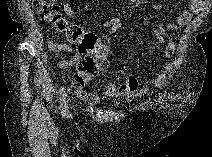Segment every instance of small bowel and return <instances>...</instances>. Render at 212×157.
<instances>
[{
	"label": "small bowel",
	"mask_w": 212,
	"mask_h": 157,
	"mask_svg": "<svg viewBox=\"0 0 212 157\" xmlns=\"http://www.w3.org/2000/svg\"><path fill=\"white\" fill-rule=\"evenodd\" d=\"M190 5L188 9H185L179 13L175 23L168 26L167 30L169 32L174 31L179 28H183L189 24L193 15L197 13L201 6L202 1L200 0H189ZM63 11L68 17H74L80 14V10L74 7L71 3L65 2L63 4ZM90 24L99 30H104L107 34H115L117 33L121 27L122 23L118 18H111L105 22H96L89 21ZM158 36L160 37V31H156ZM48 47L53 52H69L75 53L74 56L70 60H61L59 62V68L64 71L66 68L72 66L77 63L80 59V54L77 53L76 49L67 44V43H57L54 38H51L48 41ZM174 52V44L170 41L165 49V57L168 59V63L165 69L152 77L147 84L140 85L138 78L135 75H128L124 81L119 84H115L111 81H108L103 88L101 94H92L87 93L82 87H75V91L77 95L86 101L88 104H97L103 100H109L118 96L123 97H135L138 95H142L147 92L149 87H163L168 78L171 76L174 66L173 63L169 60Z\"/></svg>",
	"instance_id": "c3829d8e"
}]
</instances>
